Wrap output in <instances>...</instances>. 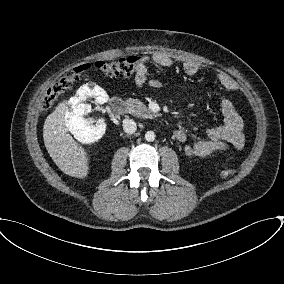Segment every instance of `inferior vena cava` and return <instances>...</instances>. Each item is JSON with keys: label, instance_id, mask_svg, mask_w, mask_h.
<instances>
[{"label": "inferior vena cava", "instance_id": "1", "mask_svg": "<svg viewBox=\"0 0 284 284\" xmlns=\"http://www.w3.org/2000/svg\"><path fill=\"white\" fill-rule=\"evenodd\" d=\"M123 128L127 134H133L137 130L136 122L132 119H124L123 120Z\"/></svg>", "mask_w": 284, "mask_h": 284}]
</instances>
